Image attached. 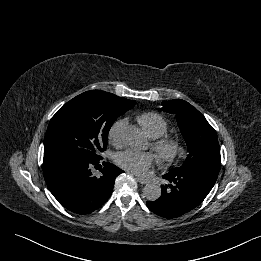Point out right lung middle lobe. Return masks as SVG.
<instances>
[{
  "label": "right lung middle lobe",
  "mask_w": 261,
  "mask_h": 261,
  "mask_svg": "<svg viewBox=\"0 0 261 261\" xmlns=\"http://www.w3.org/2000/svg\"><path fill=\"white\" fill-rule=\"evenodd\" d=\"M135 100L84 92L67 102L51 119L44 139V160L62 156H99L107 147L114 121Z\"/></svg>",
  "instance_id": "right-lung-middle-lobe-1"
}]
</instances>
